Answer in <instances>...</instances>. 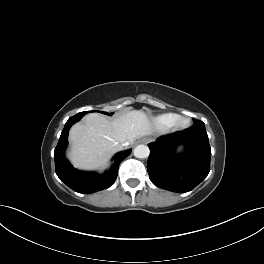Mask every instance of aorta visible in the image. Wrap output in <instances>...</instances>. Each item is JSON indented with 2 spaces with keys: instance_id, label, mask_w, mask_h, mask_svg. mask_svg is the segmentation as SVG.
Here are the masks:
<instances>
[{
  "instance_id": "obj_1",
  "label": "aorta",
  "mask_w": 264,
  "mask_h": 264,
  "mask_svg": "<svg viewBox=\"0 0 264 264\" xmlns=\"http://www.w3.org/2000/svg\"><path fill=\"white\" fill-rule=\"evenodd\" d=\"M133 154L136 158H147L150 154V150L148 146L141 144L135 147Z\"/></svg>"
}]
</instances>
